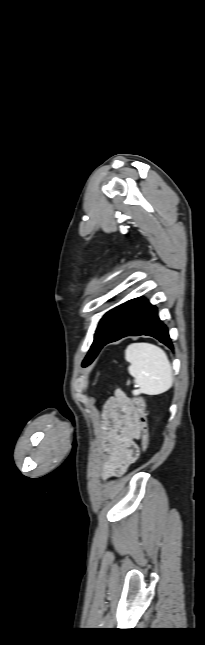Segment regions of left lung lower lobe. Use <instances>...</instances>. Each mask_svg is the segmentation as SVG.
Listing matches in <instances>:
<instances>
[{"label":"left lung lower lobe","instance_id":"0a47b994","mask_svg":"<svg viewBox=\"0 0 205 645\" xmlns=\"http://www.w3.org/2000/svg\"><path fill=\"white\" fill-rule=\"evenodd\" d=\"M139 335L152 336L173 349L167 327L159 319L157 308L143 297L129 300L111 310L107 332L99 351L110 342Z\"/></svg>","mask_w":205,"mask_h":645}]
</instances>
